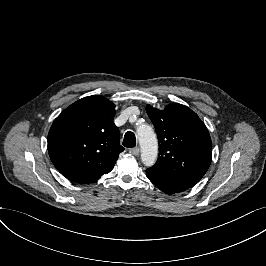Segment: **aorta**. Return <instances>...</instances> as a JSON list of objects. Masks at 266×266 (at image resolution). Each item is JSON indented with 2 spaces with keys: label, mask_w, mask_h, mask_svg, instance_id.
<instances>
[{
  "label": "aorta",
  "mask_w": 266,
  "mask_h": 266,
  "mask_svg": "<svg viewBox=\"0 0 266 266\" xmlns=\"http://www.w3.org/2000/svg\"><path fill=\"white\" fill-rule=\"evenodd\" d=\"M137 134L139 142L142 146L141 160L142 163L147 166H153L157 160L158 155V143L153 129L149 125H141L137 128ZM151 146H148V144Z\"/></svg>",
  "instance_id": "aorta-1"
}]
</instances>
